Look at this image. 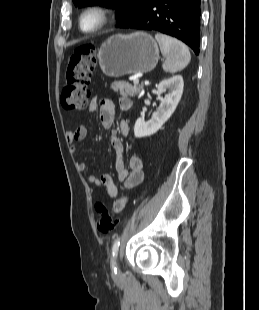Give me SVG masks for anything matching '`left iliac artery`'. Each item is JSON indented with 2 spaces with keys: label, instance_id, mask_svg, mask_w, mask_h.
Returning a JSON list of instances; mask_svg holds the SVG:
<instances>
[{
  "label": "left iliac artery",
  "instance_id": "1",
  "mask_svg": "<svg viewBox=\"0 0 259 310\" xmlns=\"http://www.w3.org/2000/svg\"><path fill=\"white\" fill-rule=\"evenodd\" d=\"M120 246V239L115 240L113 247H112V257H111V265L112 268L114 269L115 273L117 272V268L115 267V258L118 253V249Z\"/></svg>",
  "mask_w": 259,
  "mask_h": 310
}]
</instances>
